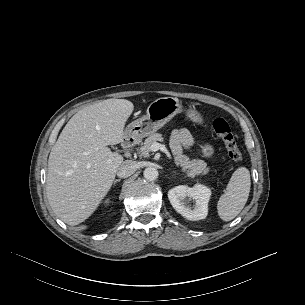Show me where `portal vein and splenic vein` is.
Listing matches in <instances>:
<instances>
[{"instance_id": "18ae733b", "label": "portal vein and splenic vein", "mask_w": 305, "mask_h": 305, "mask_svg": "<svg viewBox=\"0 0 305 305\" xmlns=\"http://www.w3.org/2000/svg\"><path fill=\"white\" fill-rule=\"evenodd\" d=\"M160 147H161V144H159V143H153V144L151 145V150H152V151H158V150L160 149Z\"/></svg>"}]
</instances>
